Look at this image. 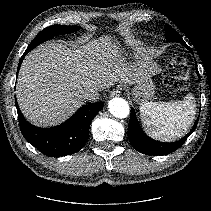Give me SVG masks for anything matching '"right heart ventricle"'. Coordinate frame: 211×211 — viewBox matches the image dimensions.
<instances>
[{
	"label": "right heart ventricle",
	"mask_w": 211,
	"mask_h": 211,
	"mask_svg": "<svg viewBox=\"0 0 211 211\" xmlns=\"http://www.w3.org/2000/svg\"><path fill=\"white\" fill-rule=\"evenodd\" d=\"M137 44V41L134 39H128L125 41V46H134Z\"/></svg>",
	"instance_id": "1"
}]
</instances>
